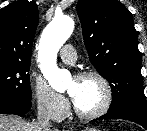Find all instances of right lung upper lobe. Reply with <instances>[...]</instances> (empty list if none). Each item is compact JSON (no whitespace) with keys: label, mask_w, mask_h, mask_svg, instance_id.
<instances>
[{"label":"right lung upper lobe","mask_w":147,"mask_h":131,"mask_svg":"<svg viewBox=\"0 0 147 131\" xmlns=\"http://www.w3.org/2000/svg\"><path fill=\"white\" fill-rule=\"evenodd\" d=\"M38 18L35 1L19 0L0 11V59L30 62Z\"/></svg>","instance_id":"right-lung-upper-lobe-1"}]
</instances>
